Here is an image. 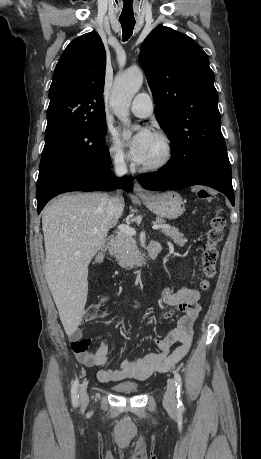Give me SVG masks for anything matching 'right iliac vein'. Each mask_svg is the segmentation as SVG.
Instances as JSON below:
<instances>
[{
  "instance_id": "63e3f726",
  "label": "right iliac vein",
  "mask_w": 261,
  "mask_h": 459,
  "mask_svg": "<svg viewBox=\"0 0 261 459\" xmlns=\"http://www.w3.org/2000/svg\"><path fill=\"white\" fill-rule=\"evenodd\" d=\"M87 386L86 384H82L80 387V402L83 407H85L88 404L89 398L86 390Z\"/></svg>"
}]
</instances>
